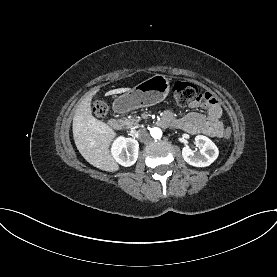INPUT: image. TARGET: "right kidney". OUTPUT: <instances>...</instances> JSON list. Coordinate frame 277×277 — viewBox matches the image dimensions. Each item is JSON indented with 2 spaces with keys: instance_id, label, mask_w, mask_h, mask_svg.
I'll use <instances>...</instances> for the list:
<instances>
[{
  "instance_id": "obj_1",
  "label": "right kidney",
  "mask_w": 277,
  "mask_h": 277,
  "mask_svg": "<svg viewBox=\"0 0 277 277\" xmlns=\"http://www.w3.org/2000/svg\"><path fill=\"white\" fill-rule=\"evenodd\" d=\"M111 153L116 162L129 167L137 161L139 143L133 138L118 137L112 144Z\"/></svg>"
}]
</instances>
